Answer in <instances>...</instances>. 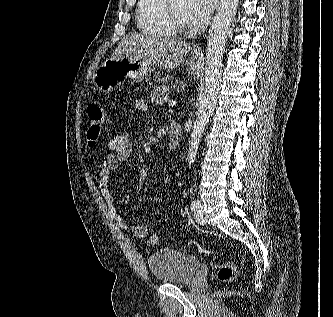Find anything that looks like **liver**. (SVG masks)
<instances>
[{
	"instance_id": "1",
	"label": "liver",
	"mask_w": 333,
	"mask_h": 317,
	"mask_svg": "<svg viewBox=\"0 0 333 317\" xmlns=\"http://www.w3.org/2000/svg\"><path fill=\"white\" fill-rule=\"evenodd\" d=\"M192 45L181 40L153 35L132 34L126 36L117 46L113 58L131 56L157 64L163 69L173 70L179 66Z\"/></svg>"
}]
</instances>
